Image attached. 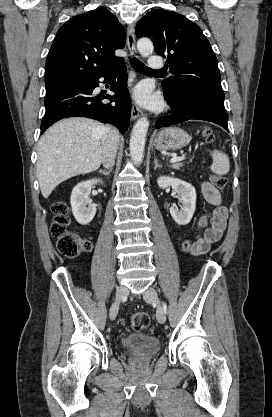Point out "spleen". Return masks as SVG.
I'll list each match as a JSON object with an SVG mask.
<instances>
[{
	"label": "spleen",
	"instance_id": "1",
	"mask_svg": "<svg viewBox=\"0 0 272 417\" xmlns=\"http://www.w3.org/2000/svg\"><path fill=\"white\" fill-rule=\"evenodd\" d=\"M213 163L210 169L218 175H226L230 170V161L227 154L221 151H213L211 153Z\"/></svg>",
	"mask_w": 272,
	"mask_h": 417
}]
</instances>
